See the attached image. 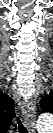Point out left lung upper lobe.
<instances>
[{
  "instance_id": "5c2ea615",
  "label": "left lung upper lobe",
  "mask_w": 53,
  "mask_h": 133,
  "mask_svg": "<svg viewBox=\"0 0 53 133\" xmlns=\"http://www.w3.org/2000/svg\"><path fill=\"white\" fill-rule=\"evenodd\" d=\"M41 109L44 112H50L53 113V99L51 95L46 96L45 98L41 99Z\"/></svg>"
}]
</instances>
